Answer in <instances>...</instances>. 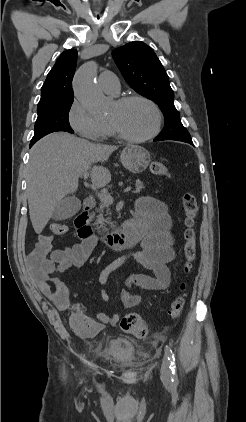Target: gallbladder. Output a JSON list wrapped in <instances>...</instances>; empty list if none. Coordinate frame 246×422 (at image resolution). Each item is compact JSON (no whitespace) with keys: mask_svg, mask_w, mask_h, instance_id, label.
Listing matches in <instances>:
<instances>
[{"mask_svg":"<svg viewBox=\"0 0 246 422\" xmlns=\"http://www.w3.org/2000/svg\"><path fill=\"white\" fill-rule=\"evenodd\" d=\"M80 207L81 201L77 197H65L56 206L52 218L58 221L71 218L79 211Z\"/></svg>","mask_w":246,"mask_h":422,"instance_id":"gallbladder-1","label":"gallbladder"}]
</instances>
